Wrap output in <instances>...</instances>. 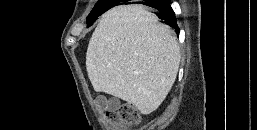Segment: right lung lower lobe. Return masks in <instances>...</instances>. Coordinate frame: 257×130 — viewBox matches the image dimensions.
Listing matches in <instances>:
<instances>
[{"label": "right lung lower lobe", "instance_id": "obj_1", "mask_svg": "<svg viewBox=\"0 0 257 130\" xmlns=\"http://www.w3.org/2000/svg\"><path fill=\"white\" fill-rule=\"evenodd\" d=\"M117 3H119V1ZM142 4L157 9V16L161 19V22L173 27L179 32V28L176 23L175 13L167 0L147 1L143 2Z\"/></svg>", "mask_w": 257, "mask_h": 130}]
</instances>
